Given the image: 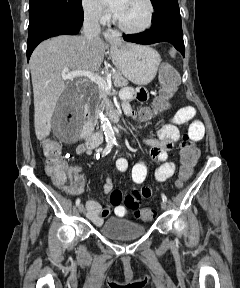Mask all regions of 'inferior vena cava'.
Wrapping results in <instances>:
<instances>
[{"label": "inferior vena cava", "instance_id": "obj_1", "mask_svg": "<svg viewBox=\"0 0 240 288\" xmlns=\"http://www.w3.org/2000/svg\"><path fill=\"white\" fill-rule=\"evenodd\" d=\"M99 18H100V9L97 7H92L88 9L84 14L82 33L83 37L85 38L88 44L99 39L101 33Z\"/></svg>", "mask_w": 240, "mask_h": 288}]
</instances>
